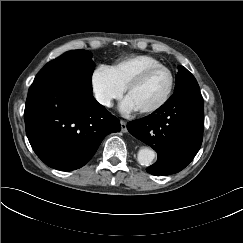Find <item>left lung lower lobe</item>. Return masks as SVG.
<instances>
[{"mask_svg": "<svg viewBox=\"0 0 243 243\" xmlns=\"http://www.w3.org/2000/svg\"><path fill=\"white\" fill-rule=\"evenodd\" d=\"M204 128V104L199 89L174 93L151 115L131 121L128 131L158 153L146 170L169 175L184 169L200 149Z\"/></svg>", "mask_w": 243, "mask_h": 243, "instance_id": "obj_1", "label": "left lung lower lobe"}]
</instances>
